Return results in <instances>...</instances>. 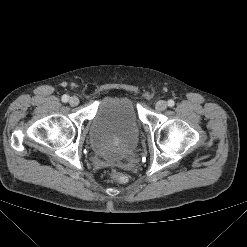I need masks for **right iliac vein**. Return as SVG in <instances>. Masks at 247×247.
I'll return each instance as SVG.
<instances>
[{
    "label": "right iliac vein",
    "mask_w": 247,
    "mask_h": 247,
    "mask_svg": "<svg viewBox=\"0 0 247 247\" xmlns=\"http://www.w3.org/2000/svg\"><path fill=\"white\" fill-rule=\"evenodd\" d=\"M69 103L72 106H77L79 104V99L76 96L70 97Z\"/></svg>",
    "instance_id": "right-iliac-vein-1"
}]
</instances>
